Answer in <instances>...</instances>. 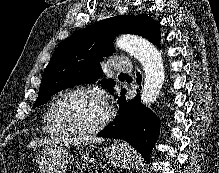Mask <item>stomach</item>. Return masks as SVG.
<instances>
[{"instance_id":"stomach-1","label":"stomach","mask_w":219,"mask_h":173,"mask_svg":"<svg viewBox=\"0 0 219 173\" xmlns=\"http://www.w3.org/2000/svg\"><path fill=\"white\" fill-rule=\"evenodd\" d=\"M108 162L118 169L131 168L136 165L135 154L125 144L114 143L105 148ZM72 157L75 161H88L89 151L81 150L76 157L61 144H48L40 152L37 162L41 173H65Z\"/></svg>"}]
</instances>
